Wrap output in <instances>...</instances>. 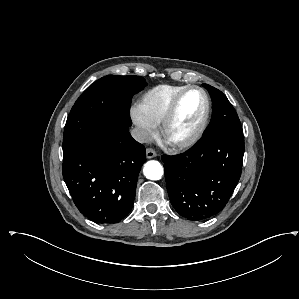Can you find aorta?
<instances>
[{"instance_id":"obj_1","label":"aorta","mask_w":299,"mask_h":299,"mask_svg":"<svg viewBox=\"0 0 299 299\" xmlns=\"http://www.w3.org/2000/svg\"><path fill=\"white\" fill-rule=\"evenodd\" d=\"M143 173L145 177L150 180H159L161 179L164 170L162 165L158 161L151 160L144 165Z\"/></svg>"}]
</instances>
